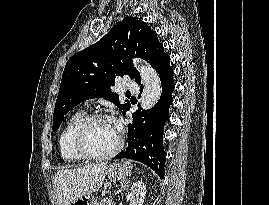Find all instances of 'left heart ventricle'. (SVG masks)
<instances>
[{
  "instance_id": "left-heart-ventricle-1",
  "label": "left heart ventricle",
  "mask_w": 269,
  "mask_h": 205,
  "mask_svg": "<svg viewBox=\"0 0 269 205\" xmlns=\"http://www.w3.org/2000/svg\"><path fill=\"white\" fill-rule=\"evenodd\" d=\"M118 141V130L111 120H100L87 131L85 144L95 154H103L112 150Z\"/></svg>"
}]
</instances>
